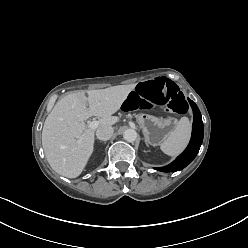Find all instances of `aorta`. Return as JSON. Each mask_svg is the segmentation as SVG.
Returning a JSON list of instances; mask_svg holds the SVG:
<instances>
[{
  "mask_svg": "<svg viewBox=\"0 0 248 248\" xmlns=\"http://www.w3.org/2000/svg\"><path fill=\"white\" fill-rule=\"evenodd\" d=\"M123 137L128 142H134L137 139V132L134 129L125 130Z\"/></svg>",
  "mask_w": 248,
  "mask_h": 248,
  "instance_id": "1",
  "label": "aorta"
}]
</instances>
